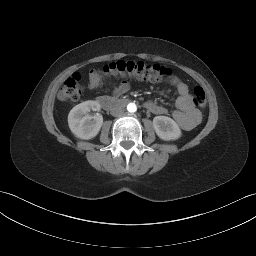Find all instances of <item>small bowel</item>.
Here are the masks:
<instances>
[{"label":"small bowel","instance_id":"obj_1","mask_svg":"<svg viewBox=\"0 0 256 256\" xmlns=\"http://www.w3.org/2000/svg\"><path fill=\"white\" fill-rule=\"evenodd\" d=\"M168 82L178 93L176 100L177 110L173 112L172 117L182 129L192 130L201 121V113L193 103L189 87L176 76L171 77ZM129 89V82L124 81L113 90L112 94L114 96H121L129 91ZM145 106L154 114H165L167 112L164 107L152 101L146 102Z\"/></svg>","mask_w":256,"mask_h":256}]
</instances>
